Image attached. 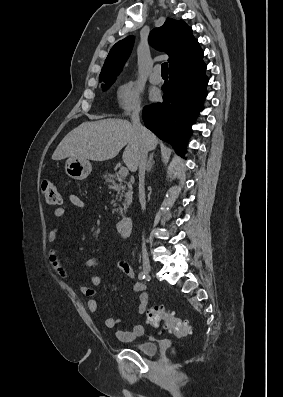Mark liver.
Instances as JSON below:
<instances>
[{
  "label": "liver",
  "instance_id": "6515ba94",
  "mask_svg": "<svg viewBox=\"0 0 283 397\" xmlns=\"http://www.w3.org/2000/svg\"><path fill=\"white\" fill-rule=\"evenodd\" d=\"M148 150H154L157 137L147 130ZM145 143L133 125L121 119H102L84 122L69 132L52 155L53 160L67 157L105 161L114 158L126 146L122 159L131 172L138 168L141 150Z\"/></svg>",
  "mask_w": 283,
  "mask_h": 397
}]
</instances>
